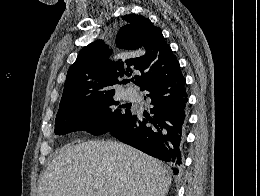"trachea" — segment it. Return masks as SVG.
Masks as SVG:
<instances>
[{
  "mask_svg": "<svg viewBox=\"0 0 260 196\" xmlns=\"http://www.w3.org/2000/svg\"><path fill=\"white\" fill-rule=\"evenodd\" d=\"M134 79L133 78H131V80H126V81H133Z\"/></svg>",
  "mask_w": 260,
  "mask_h": 196,
  "instance_id": "1",
  "label": "trachea"
}]
</instances>
